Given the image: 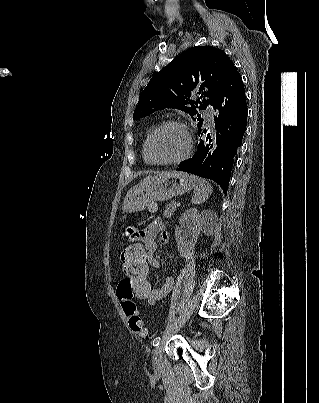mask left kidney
Instances as JSON below:
<instances>
[{
    "instance_id": "5707ae66",
    "label": "left kidney",
    "mask_w": 319,
    "mask_h": 403,
    "mask_svg": "<svg viewBox=\"0 0 319 403\" xmlns=\"http://www.w3.org/2000/svg\"><path fill=\"white\" fill-rule=\"evenodd\" d=\"M208 216L213 217V211L205 210L202 214H199L198 210L195 208L186 210V212L181 215L179 225L190 224L192 228V239L188 242H185V239L182 237L180 227L178 226L175 229V240L178 245V251L182 257H189L193 254L195 244L200 232L204 228Z\"/></svg>"
}]
</instances>
